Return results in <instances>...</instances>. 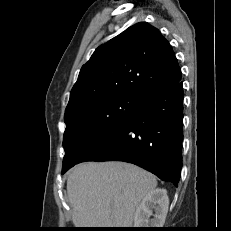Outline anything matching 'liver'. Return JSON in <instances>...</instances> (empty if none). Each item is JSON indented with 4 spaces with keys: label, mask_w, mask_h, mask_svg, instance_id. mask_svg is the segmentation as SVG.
Instances as JSON below:
<instances>
[{
    "label": "liver",
    "mask_w": 231,
    "mask_h": 231,
    "mask_svg": "<svg viewBox=\"0 0 231 231\" xmlns=\"http://www.w3.org/2000/svg\"><path fill=\"white\" fill-rule=\"evenodd\" d=\"M157 186L151 173L125 162H87L67 178L77 228H131L140 201Z\"/></svg>",
    "instance_id": "1"
}]
</instances>
